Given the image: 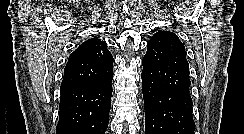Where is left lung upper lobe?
Returning a JSON list of instances; mask_svg holds the SVG:
<instances>
[{
    "mask_svg": "<svg viewBox=\"0 0 244 134\" xmlns=\"http://www.w3.org/2000/svg\"><path fill=\"white\" fill-rule=\"evenodd\" d=\"M143 70L165 88L189 89V64L184 44L170 31H158L147 42Z\"/></svg>",
    "mask_w": 244,
    "mask_h": 134,
    "instance_id": "left-lung-upper-lobe-1",
    "label": "left lung upper lobe"
}]
</instances>
